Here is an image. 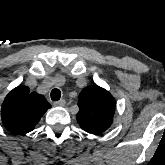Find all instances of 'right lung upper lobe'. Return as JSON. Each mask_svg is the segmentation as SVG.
<instances>
[{"label": "right lung upper lobe", "instance_id": "right-lung-upper-lobe-1", "mask_svg": "<svg viewBox=\"0 0 165 165\" xmlns=\"http://www.w3.org/2000/svg\"><path fill=\"white\" fill-rule=\"evenodd\" d=\"M51 108L43 95L30 93L26 86L14 88L5 98L1 118L11 132L21 135L32 131L44 113Z\"/></svg>", "mask_w": 165, "mask_h": 165}]
</instances>
